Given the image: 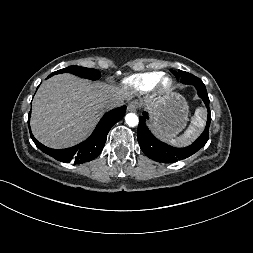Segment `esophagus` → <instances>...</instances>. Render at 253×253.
I'll return each mask as SVG.
<instances>
[{
	"label": "esophagus",
	"instance_id": "obj_1",
	"mask_svg": "<svg viewBox=\"0 0 253 253\" xmlns=\"http://www.w3.org/2000/svg\"><path fill=\"white\" fill-rule=\"evenodd\" d=\"M127 109H128V111H130V112H135L136 109H137V103L134 102V101L130 102V103L128 104V106H127Z\"/></svg>",
	"mask_w": 253,
	"mask_h": 253
}]
</instances>
